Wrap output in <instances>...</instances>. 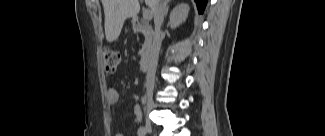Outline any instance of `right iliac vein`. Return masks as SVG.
I'll return each instance as SVG.
<instances>
[{"mask_svg": "<svg viewBox=\"0 0 325 136\" xmlns=\"http://www.w3.org/2000/svg\"><path fill=\"white\" fill-rule=\"evenodd\" d=\"M148 107L151 108V105H148ZM145 130H146L147 133H151L152 132V125H151L150 121H147L146 122Z\"/></svg>", "mask_w": 325, "mask_h": 136, "instance_id": "obj_1", "label": "right iliac vein"}]
</instances>
